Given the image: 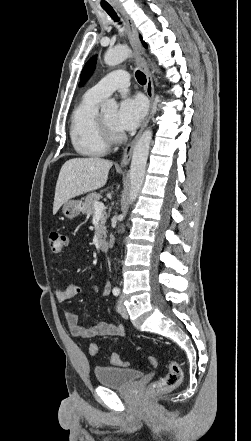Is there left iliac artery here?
<instances>
[{
  "label": "left iliac artery",
  "mask_w": 251,
  "mask_h": 441,
  "mask_svg": "<svg viewBox=\"0 0 251 441\" xmlns=\"http://www.w3.org/2000/svg\"><path fill=\"white\" fill-rule=\"evenodd\" d=\"M117 311L120 312V308L117 306Z\"/></svg>",
  "instance_id": "1"
}]
</instances>
